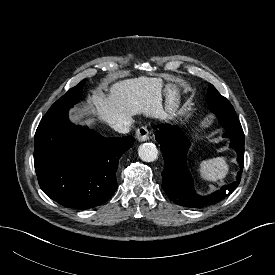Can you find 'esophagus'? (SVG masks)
I'll return each mask as SVG.
<instances>
[{"mask_svg": "<svg viewBox=\"0 0 275 275\" xmlns=\"http://www.w3.org/2000/svg\"><path fill=\"white\" fill-rule=\"evenodd\" d=\"M135 135L139 142L147 141L149 139V131L146 126L138 128Z\"/></svg>", "mask_w": 275, "mask_h": 275, "instance_id": "obj_1", "label": "esophagus"}]
</instances>
